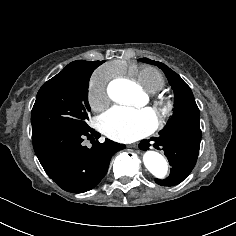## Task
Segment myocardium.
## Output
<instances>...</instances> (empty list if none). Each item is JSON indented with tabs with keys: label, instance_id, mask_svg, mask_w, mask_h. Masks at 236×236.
I'll list each match as a JSON object with an SVG mask.
<instances>
[{
	"label": "myocardium",
	"instance_id": "1",
	"mask_svg": "<svg viewBox=\"0 0 236 236\" xmlns=\"http://www.w3.org/2000/svg\"><path fill=\"white\" fill-rule=\"evenodd\" d=\"M152 108L156 114L155 127L167 126L174 112V102L168 97L160 96L153 101Z\"/></svg>",
	"mask_w": 236,
	"mask_h": 236
}]
</instances>
